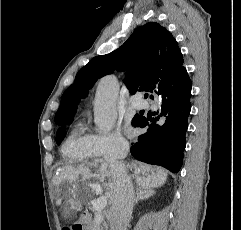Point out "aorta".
I'll return each instance as SVG.
<instances>
[{
    "instance_id": "1",
    "label": "aorta",
    "mask_w": 241,
    "mask_h": 230,
    "mask_svg": "<svg viewBox=\"0 0 241 230\" xmlns=\"http://www.w3.org/2000/svg\"><path fill=\"white\" fill-rule=\"evenodd\" d=\"M118 94L119 84L114 75L105 76L99 81L94 101V122L98 133L105 134L113 129L117 119Z\"/></svg>"
}]
</instances>
